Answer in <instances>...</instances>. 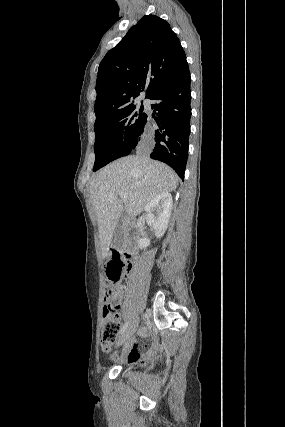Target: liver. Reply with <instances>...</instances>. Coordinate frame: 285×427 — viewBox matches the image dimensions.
Instances as JSON below:
<instances>
[{"label":"liver","mask_w":285,"mask_h":427,"mask_svg":"<svg viewBox=\"0 0 285 427\" xmlns=\"http://www.w3.org/2000/svg\"><path fill=\"white\" fill-rule=\"evenodd\" d=\"M178 180L169 166L143 153L120 158L95 175L90 185V198L103 257L107 256L123 211L129 217H136L156 195L174 191ZM119 194H124L127 200L119 199Z\"/></svg>","instance_id":"1"}]
</instances>
